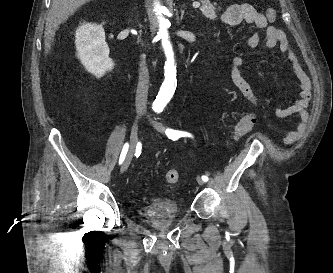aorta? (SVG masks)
Returning a JSON list of instances; mask_svg holds the SVG:
<instances>
[{"mask_svg": "<svg viewBox=\"0 0 333 273\" xmlns=\"http://www.w3.org/2000/svg\"><path fill=\"white\" fill-rule=\"evenodd\" d=\"M154 11L157 14L159 22V31L157 33V37L161 40V44L167 58L164 66L165 80L156 98V103L162 106L171 99L174 93L176 82V66L174 62V53L167 29L169 22L162 15L166 11V8L164 6H161L159 2H155Z\"/></svg>", "mask_w": 333, "mask_h": 273, "instance_id": "obj_1", "label": "aorta"}]
</instances>
